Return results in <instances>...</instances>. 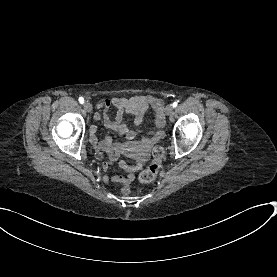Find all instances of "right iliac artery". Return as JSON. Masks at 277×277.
Returning <instances> with one entry per match:
<instances>
[{"mask_svg": "<svg viewBox=\"0 0 277 277\" xmlns=\"http://www.w3.org/2000/svg\"><path fill=\"white\" fill-rule=\"evenodd\" d=\"M79 102H80L81 104H83V103H84V99H83V97H80V98H79Z\"/></svg>", "mask_w": 277, "mask_h": 277, "instance_id": "right-iliac-artery-1", "label": "right iliac artery"}]
</instances>
